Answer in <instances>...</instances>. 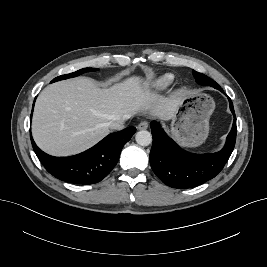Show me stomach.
Instances as JSON below:
<instances>
[{
  "label": "stomach",
  "instance_id": "1",
  "mask_svg": "<svg viewBox=\"0 0 267 267\" xmlns=\"http://www.w3.org/2000/svg\"><path fill=\"white\" fill-rule=\"evenodd\" d=\"M215 109L213 98L197 91L183 96L172 121L171 133L180 145L198 147L209 134V119Z\"/></svg>",
  "mask_w": 267,
  "mask_h": 267
}]
</instances>
